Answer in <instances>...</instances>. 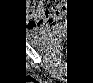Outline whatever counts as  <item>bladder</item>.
Wrapping results in <instances>:
<instances>
[{
  "instance_id": "bladder-1",
  "label": "bladder",
  "mask_w": 93,
  "mask_h": 83,
  "mask_svg": "<svg viewBox=\"0 0 93 83\" xmlns=\"http://www.w3.org/2000/svg\"><path fill=\"white\" fill-rule=\"evenodd\" d=\"M31 35L37 36V38L43 41L46 38V35L42 32L40 27L30 28Z\"/></svg>"
}]
</instances>
